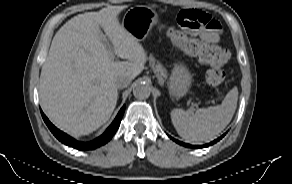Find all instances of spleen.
<instances>
[{
    "label": "spleen",
    "instance_id": "obj_1",
    "mask_svg": "<svg viewBox=\"0 0 292 184\" xmlns=\"http://www.w3.org/2000/svg\"><path fill=\"white\" fill-rule=\"evenodd\" d=\"M238 100V90L231 89L221 105L198 109L194 114L182 109L170 113L172 123L185 141L191 143L213 140L230 123Z\"/></svg>",
    "mask_w": 292,
    "mask_h": 184
}]
</instances>
